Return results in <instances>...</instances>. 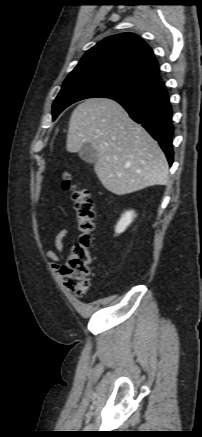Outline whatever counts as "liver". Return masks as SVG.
<instances>
[{
	"instance_id": "obj_1",
	"label": "liver",
	"mask_w": 202,
	"mask_h": 437,
	"mask_svg": "<svg viewBox=\"0 0 202 437\" xmlns=\"http://www.w3.org/2000/svg\"><path fill=\"white\" fill-rule=\"evenodd\" d=\"M86 142L96 150L99 180L116 195L168 182V162L158 143L112 99H87L72 112L66 149L76 153Z\"/></svg>"
}]
</instances>
